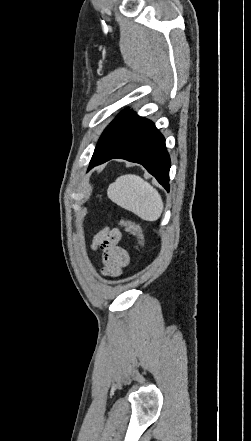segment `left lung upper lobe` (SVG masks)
<instances>
[{"mask_svg": "<svg viewBox=\"0 0 251 441\" xmlns=\"http://www.w3.org/2000/svg\"><path fill=\"white\" fill-rule=\"evenodd\" d=\"M128 112V109L124 110L122 113H120L118 116H122Z\"/></svg>", "mask_w": 251, "mask_h": 441, "instance_id": "5c2ea615", "label": "left lung upper lobe"}]
</instances>
